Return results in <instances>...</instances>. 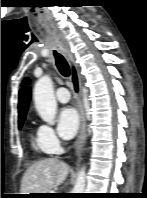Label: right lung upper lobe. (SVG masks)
Instances as JSON below:
<instances>
[{"instance_id":"1","label":"right lung upper lobe","mask_w":147,"mask_h":198,"mask_svg":"<svg viewBox=\"0 0 147 198\" xmlns=\"http://www.w3.org/2000/svg\"><path fill=\"white\" fill-rule=\"evenodd\" d=\"M27 82H29L28 78L24 80V82L21 84V89L19 90V103H18L19 120L25 119L29 106L31 89L27 85Z\"/></svg>"}]
</instances>
